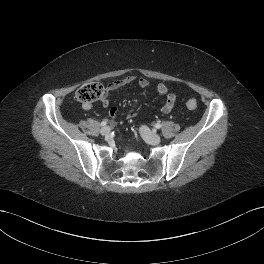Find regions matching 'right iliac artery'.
<instances>
[{
  "mask_svg": "<svg viewBox=\"0 0 264 264\" xmlns=\"http://www.w3.org/2000/svg\"><path fill=\"white\" fill-rule=\"evenodd\" d=\"M106 125H107V121L106 120L101 122V126H106Z\"/></svg>",
  "mask_w": 264,
  "mask_h": 264,
  "instance_id": "1",
  "label": "right iliac artery"
}]
</instances>
